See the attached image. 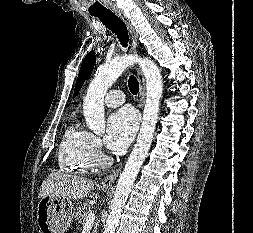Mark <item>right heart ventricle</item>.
Segmentation results:
<instances>
[{
  "instance_id": "1",
  "label": "right heart ventricle",
  "mask_w": 253,
  "mask_h": 233,
  "mask_svg": "<svg viewBox=\"0 0 253 233\" xmlns=\"http://www.w3.org/2000/svg\"><path fill=\"white\" fill-rule=\"evenodd\" d=\"M58 166L61 171L81 174L94 166L92 134L74 124L68 127L59 144Z\"/></svg>"
}]
</instances>
